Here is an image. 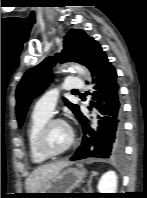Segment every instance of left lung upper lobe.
<instances>
[{
	"mask_svg": "<svg viewBox=\"0 0 147 198\" xmlns=\"http://www.w3.org/2000/svg\"><path fill=\"white\" fill-rule=\"evenodd\" d=\"M94 41L83 30L71 29L67 36L64 37L63 49L60 53H57L53 58H46L24 74L16 90V114L19 127L24 122L32 99L41 93L51 82V68L57 62H77L87 66L89 52ZM64 100L66 106L78 117L80 113L79 106L68 102L66 99Z\"/></svg>",
	"mask_w": 147,
	"mask_h": 198,
	"instance_id": "5c2ea615",
	"label": "left lung upper lobe"
}]
</instances>
